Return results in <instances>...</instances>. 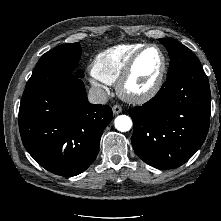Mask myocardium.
<instances>
[{
    "instance_id": "myocardium-1",
    "label": "myocardium",
    "mask_w": 221,
    "mask_h": 221,
    "mask_svg": "<svg viewBox=\"0 0 221 221\" xmlns=\"http://www.w3.org/2000/svg\"><path fill=\"white\" fill-rule=\"evenodd\" d=\"M149 48H155L161 55L160 70L149 88L141 92H131L127 89V83L130 80L137 61L141 55ZM167 70V58L163 49L156 44H145L139 48L129 59L124 70L116 81V90L118 95L125 101L141 104L152 99L161 89Z\"/></svg>"
}]
</instances>
